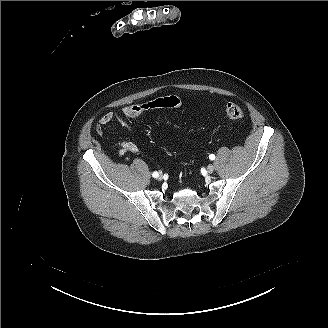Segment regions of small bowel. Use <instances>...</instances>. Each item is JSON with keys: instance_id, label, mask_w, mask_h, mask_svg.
<instances>
[{"instance_id": "c3829d8e", "label": "small bowel", "mask_w": 328, "mask_h": 328, "mask_svg": "<svg viewBox=\"0 0 328 328\" xmlns=\"http://www.w3.org/2000/svg\"><path fill=\"white\" fill-rule=\"evenodd\" d=\"M114 119L118 120L119 122H121L124 126H126L128 129L133 130V127L131 124H129L125 117L123 115H121L120 113L117 112H108L106 114H104L99 123L103 126L108 125L111 121H113ZM138 151V147L135 143L130 142V141H124L121 143V147L119 150V154L120 155H124L126 153H134Z\"/></svg>"}]
</instances>
